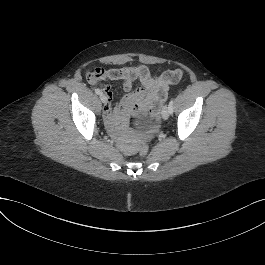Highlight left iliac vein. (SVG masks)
Returning <instances> with one entry per match:
<instances>
[{"label":"left iliac vein","instance_id":"4c4485c4","mask_svg":"<svg viewBox=\"0 0 265 265\" xmlns=\"http://www.w3.org/2000/svg\"><path fill=\"white\" fill-rule=\"evenodd\" d=\"M170 112L167 106H164L163 110H162V118L164 120H167L169 118Z\"/></svg>","mask_w":265,"mask_h":265}]
</instances>
